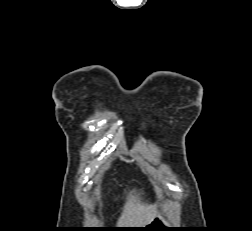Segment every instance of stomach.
<instances>
[{
	"label": "stomach",
	"mask_w": 252,
	"mask_h": 231,
	"mask_svg": "<svg viewBox=\"0 0 252 231\" xmlns=\"http://www.w3.org/2000/svg\"><path fill=\"white\" fill-rule=\"evenodd\" d=\"M142 228H144L140 229L142 231H160V230H168L167 228L171 227L163 216L157 215L150 223H148L146 226Z\"/></svg>",
	"instance_id": "obj_1"
}]
</instances>
